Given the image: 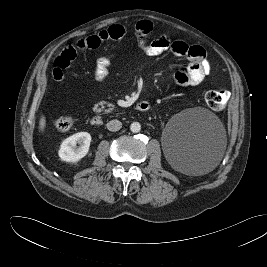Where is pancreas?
Segmentation results:
<instances>
[{
    "label": "pancreas",
    "mask_w": 267,
    "mask_h": 267,
    "mask_svg": "<svg viewBox=\"0 0 267 267\" xmlns=\"http://www.w3.org/2000/svg\"><path fill=\"white\" fill-rule=\"evenodd\" d=\"M105 105H107L108 109H105V112L108 113V112H111L113 109H114V105L111 104V103H108L106 101H100L98 104H96L94 106V110L96 112H100L101 110H103L105 108Z\"/></svg>",
    "instance_id": "pancreas-1"
}]
</instances>
